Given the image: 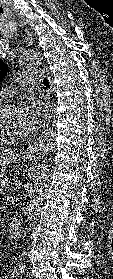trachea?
<instances>
[{
  "instance_id": "1",
  "label": "trachea",
  "mask_w": 113,
  "mask_h": 279,
  "mask_svg": "<svg viewBox=\"0 0 113 279\" xmlns=\"http://www.w3.org/2000/svg\"><path fill=\"white\" fill-rule=\"evenodd\" d=\"M43 84H44L46 87H49V82H48L47 78H44V79H43Z\"/></svg>"
}]
</instances>
